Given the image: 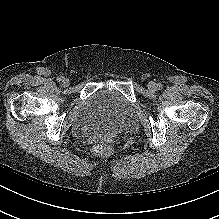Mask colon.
<instances>
[{"mask_svg":"<svg viewBox=\"0 0 219 219\" xmlns=\"http://www.w3.org/2000/svg\"><path fill=\"white\" fill-rule=\"evenodd\" d=\"M110 152H111V148L106 144H97L92 148V153L97 156H106Z\"/></svg>","mask_w":219,"mask_h":219,"instance_id":"1","label":"colon"}]
</instances>
